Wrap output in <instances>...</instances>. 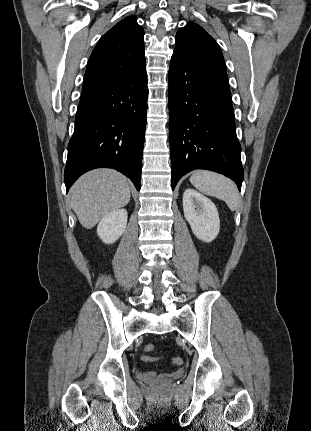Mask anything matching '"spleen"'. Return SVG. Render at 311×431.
I'll use <instances>...</instances> for the list:
<instances>
[{"label": "spleen", "instance_id": "3e777b00", "mask_svg": "<svg viewBox=\"0 0 311 431\" xmlns=\"http://www.w3.org/2000/svg\"><path fill=\"white\" fill-rule=\"evenodd\" d=\"M190 182L196 190H199L205 196H214V198L224 200L232 212L237 210L239 194L236 184L229 178H225L221 174H215V172L198 170V172H193Z\"/></svg>", "mask_w": 311, "mask_h": 431}]
</instances>
